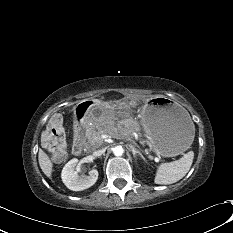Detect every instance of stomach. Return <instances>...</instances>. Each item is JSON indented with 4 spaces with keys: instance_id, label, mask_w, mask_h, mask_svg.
I'll list each match as a JSON object with an SVG mask.
<instances>
[{
    "instance_id": "1",
    "label": "stomach",
    "mask_w": 233,
    "mask_h": 233,
    "mask_svg": "<svg viewBox=\"0 0 233 233\" xmlns=\"http://www.w3.org/2000/svg\"><path fill=\"white\" fill-rule=\"evenodd\" d=\"M132 110L130 99H110L105 105L94 103L92 112L85 119L93 123L107 119L119 121ZM142 125L153 152L163 157L183 153L191 145L195 134V126L189 114L163 97L153 99L144 106Z\"/></svg>"
}]
</instances>
